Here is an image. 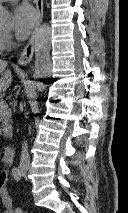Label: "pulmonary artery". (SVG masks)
<instances>
[{"label": "pulmonary artery", "instance_id": "e3ab8cb5", "mask_svg": "<svg viewBox=\"0 0 128 213\" xmlns=\"http://www.w3.org/2000/svg\"><path fill=\"white\" fill-rule=\"evenodd\" d=\"M0 1H15V0H0Z\"/></svg>", "mask_w": 128, "mask_h": 213}]
</instances>
